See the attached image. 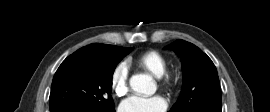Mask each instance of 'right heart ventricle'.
I'll use <instances>...</instances> for the list:
<instances>
[{
	"label": "right heart ventricle",
	"instance_id": "1",
	"mask_svg": "<svg viewBox=\"0 0 270 112\" xmlns=\"http://www.w3.org/2000/svg\"><path fill=\"white\" fill-rule=\"evenodd\" d=\"M132 63L154 78H159L168 66L166 57L156 50H148L139 54L132 60Z\"/></svg>",
	"mask_w": 270,
	"mask_h": 112
}]
</instances>
